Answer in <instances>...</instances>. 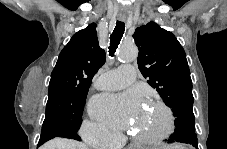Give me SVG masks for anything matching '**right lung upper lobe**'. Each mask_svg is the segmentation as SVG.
I'll return each instance as SVG.
<instances>
[{
    "mask_svg": "<svg viewBox=\"0 0 227 149\" xmlns=\"http://www.w3.org/2000/svg\"><path fill=\"white\" fill-rule=\"evenodd\" d=\"M97 25L75 33L62 49L51 74L49 93L57 91H85L93 76L105 63V51L99 47Z\"/></svg>",
    "mask_w": 227,
    "mask_h": 149,
    "instance_id": "right-lung-upper-lobe-1",
    "label": "right lung upper lobe"
}]
</instances>
